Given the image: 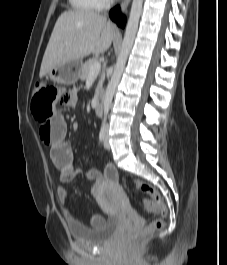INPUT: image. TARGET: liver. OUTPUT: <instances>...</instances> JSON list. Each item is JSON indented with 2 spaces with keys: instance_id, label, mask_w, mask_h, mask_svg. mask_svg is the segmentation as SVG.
<instances>
[{
  "instance_id": "liver-1",
  "label": "liver",
  "mask_w": 227,
  "mask_h": 265,
  "mask_svg": "<svg viewBox=\"0 0 227 265\" xmlns=\"http://www.w3.org/2000/svg\"><path fill=\"white\" fill-rule=\"evenodd\" d=\"M119 31L106 17L89 11H66L57 19L45 50L40 78L65 63L109 49Z\"/></svg>"
}]
</instances>
